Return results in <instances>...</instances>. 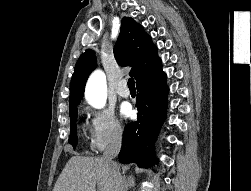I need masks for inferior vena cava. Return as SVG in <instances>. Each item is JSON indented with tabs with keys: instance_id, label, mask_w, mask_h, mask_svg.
<instances>
[{
	"instance_id": "602c4592",
	"label": "inferior vena cava",
	"mask_w": 251,
	"mask_h": 191,
	"mask_svg": "<svg viewBox=\"0 0 251 191\" xmlns=\"http://www.w3.org/2000/svg\"><path fill=\"white\" fill-rule=\"evenodd\" d=\"M121 143H122V129L121 127H115L112 139L103 153V159L111 163L113 157H116V155H118L121 149ZM115 179L116 183H118L116 191H125L121 175H115Z\"/></svg>"
}]
</instances>
